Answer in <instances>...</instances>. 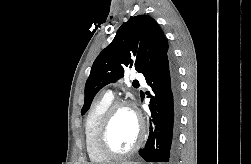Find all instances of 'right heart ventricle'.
<instances>
[{"label": "right heart ventricle", "mask_w": 251, "mask_h": 164, "mask_svg": "<svg viewBox=\"0 0 251 164\" xmlns=\"http://www.w3.org/2000/svg\"><path fill=\"white\" fill-rule=\"evenodd\" d=\"M112 102H113V97L108 95L102 96L91 105L85 117L84 121L85 146L89 159L94 163H102L107 161L108 159L97 148L96 134L100 120L104 112Z\"/></svg>", "instance_id": "right-heart-ventricle-1"}]
</instances>
